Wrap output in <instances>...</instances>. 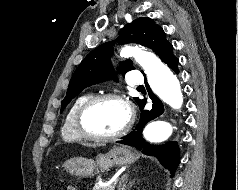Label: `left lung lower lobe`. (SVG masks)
I'll return each instance as SVG.
<instances>
[{"instance_id":"obj_1","label":"left lung lower lobe","mask_w":238,"mask_h":190,"mask_svg":"<svg viewBox=\"0 0 238 190\" xmlns=\"http://www.w3.org/2000/svg\"><path fill=\"white\" fill-rule=\"evenodd\" d=\"M175 73H179L177 65L179 63L178 58L171 52L163 60ZM150 98L153 102L152 110H143L145 101L141 100L138 105L141 110L140 121L135 129L129 133L118 143L132 146L142 151L146 155L155 156L160 162H162L173 174L179 164V148L176 142H170L165 145L155 146L146 142L142 136L143 127L151 120L159 117L164 112L163 103L152 93Z\"/></svg>"}]
</instances>
